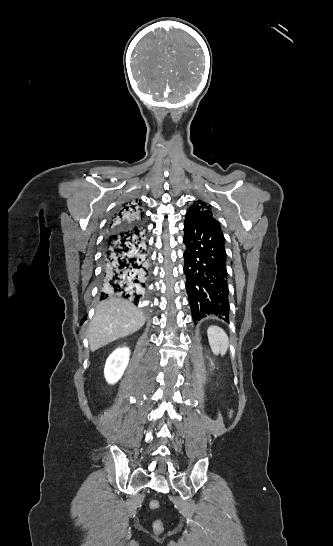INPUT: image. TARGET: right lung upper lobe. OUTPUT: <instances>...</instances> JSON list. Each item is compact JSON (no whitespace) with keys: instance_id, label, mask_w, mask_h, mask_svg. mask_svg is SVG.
<instances>
[{"instance_id":"1","label":"right lung upper lobe","mask_w":333,"mask_h":546,"mask_svg":"<svg viewBox=\"0 0 333 546\" xmlns=\"http://www.w3.org/2000/svg\"><path fill=\"white\" fill-rule=\"evenodd\" d=\"M140 202V201H139ZM140 203L135 201H127L122 204L119 210L112 217L108 231H115L125 228H140L143 225V213L139 209Z\"/></svg>"}]
</instances>
